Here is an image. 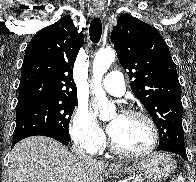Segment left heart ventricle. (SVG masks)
Instances as JSON below:
<instances>
[{
  "instance_id": "b2bd125f",
  "label": "left heart ventricle",
  "mask_w": 196,
  "mask_h": 182,
  "mask_svg": "<svg viewBox=\"0 0 196 182\" xmlns=\"http://www.w3.org/2000/svg\"><path fill=\"white\" fill-rule=\"evenodd\" d=\"M118 121L120 125L113 139L119 146L129 151L139 152L150 145L151 131L144 120L118 114L110 118V124Z\"/></svg>"
}]
</instances>
